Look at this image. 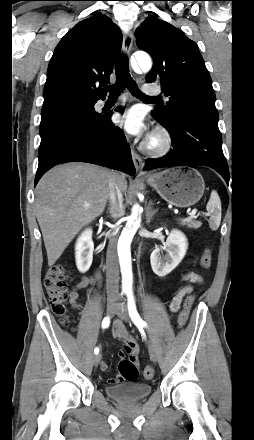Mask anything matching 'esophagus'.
Here are the masks:
<instances>
[{
    "instance_id": "obj_1",
    "label": "esophagus",
    "mask_w": 254,
    "mask_h": 440,
    "mask_svg": "<svg viewBox=\"0 0 254 440\" xmlns=\"http://www.w3.org/2000/svg\"><path fill=\"white\" fill-rule=\"evenodd\" d=\"M133 45V35L132 33L126 31L123 34V42H122V48L124 53L129 54ZM131 155L133 159L134 166L136 168V171L140 174H143L142 168H143V161L140 155L135 151L134 147L131 146Z\"/></svg>"
}]
</instances>
